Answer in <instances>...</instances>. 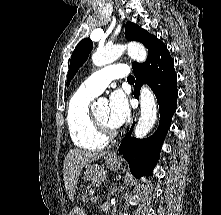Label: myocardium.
Wrapping results in <instances>:
<instances>
[{"label":"myocardium","mask_w":221,"mask_h":215,"mask_svg":"<svg viewBox=\"0 0 221 215\" xmlns=\"http://www.w3.org/2000/svg\"><path fill=\"white\" fill-rule=\"evenodd\" d=\"M91 114H92L93 121L97 126L98 131L103 137L112 138L116 135V131L111 126L100 121L95 113H91Z\"/></svg>","instance_id":"1"}]
</instances>
